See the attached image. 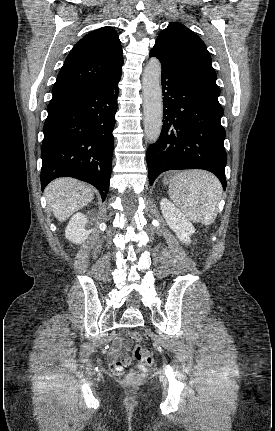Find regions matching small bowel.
I'll return each instance as SVG.
<instances>
[{"instance_id":"small-bowel-1","label":"small bowel","mask_w":275,"mask_h":431,"mask_svg":"<svg viewBox=\"0 0 275 431\" xmlns=\"http://www.w3.org/2000/svg\"><path fill=\"white\" fill-rule=\"evenodd\" d=\"M121 346H122V338L120 337L115 338L114 341L112 342V346L108 354L111 366L115 370H117L120 362L122 363V369H124V367L129 363V357L126 354L123 355L120 360L118 359Z\"/></svg>"}]
</instances>
